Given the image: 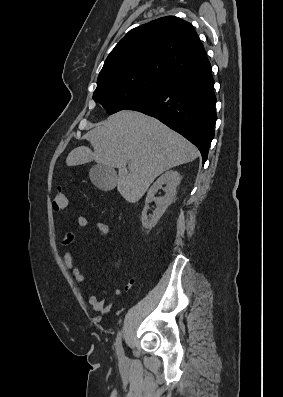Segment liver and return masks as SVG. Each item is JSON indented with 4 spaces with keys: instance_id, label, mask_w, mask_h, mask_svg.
<instances>
[{
    "instance_id": "6515ba94",
    "label": "liver",
    "mask_w": 283,
    "mask_h": 397,
    "mask_svg": "<svg viewBox=\"0 0 283 397\" xmlns=\"http://www.w3.org/2000/svg\"><path fill=\"white\" fill-rule=\"evenodd\" d=\"M85 139L93 151L85 146L73 149L67 166L94 160L118 168L117 190L130 203L139 201L157 176L199 156L198 149L183 136L137 111L122 110L109 116L87 132Z\"/></svg>"
}]
</instances>
